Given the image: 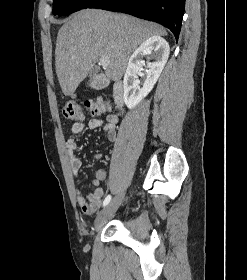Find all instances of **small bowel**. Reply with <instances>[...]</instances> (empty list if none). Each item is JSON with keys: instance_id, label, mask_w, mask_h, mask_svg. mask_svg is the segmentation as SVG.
I'll return each instance as SVG.
<instances>
[{"instance_id": "1", "label": "small bowel", "mask_w": 247, "mask_h": 280, "mask_svg": "<svg viewBox=\"0 0 247 280\" xmlns=\"http://www.w3.org/2000/svg\"><path fill=\"white\" fill-rule=\"evenodd\" d=\"M117 117L109 115L106 121L100 118H92L88 121H78L71 125L70 136L67 140L68 158L71 169L76 177L80 175L82 162L76 153V136L82 133L85 129H98L102 128L106 132L108 140L114 141L117 136L116 124ZM94 158L99 160L102 158L101 153H95ZM106 179V171L99 169L95 173V177L92 180V184L95 186V190L88 196L81 193L77 194V202L80 209L86 215H93L101 206L102 199L104 197V190L100 187V184Z\"/></svg>"}]
</instances>
